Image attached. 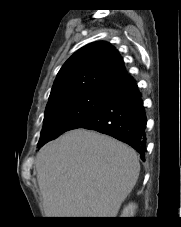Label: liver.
Listing matches in <instances>:
<instances>
[{"mask_svg": "<svg viewBox=\"0 0 181 227\" xmlns=\"http://www.w3.org/2000/svg\"><path fill=\"white\" fill-rule=\"evenodd\" d=\"M36 168L46 217H116L140 172L135 150L85 129L44 145Z\"/></svg>", "mask_w": 181, "mask_h": 227, "instance_id": "liver-1", "label": "liver"}]
</instances>
